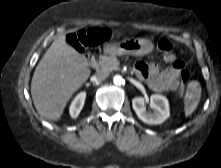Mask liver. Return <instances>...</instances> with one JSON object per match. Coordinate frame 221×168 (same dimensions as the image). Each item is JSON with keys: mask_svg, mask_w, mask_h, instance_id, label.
<instances>
[{"mask_svg": "<svg viewBox=\"0 0 221 168\" xmlns=\"http://www.w3.org/2000/svg\"><path fill=\"white\" fill-rule=\"evenodd\" d=\"M90 69L80 54L59 35L39 61L31 82L37 112L57 121L72 95L87 81Z\"/></svg>", "mask_w": 221, "mask_h": 168, "instance_id": "obj_1", "label": "liver"}]
</instances>
